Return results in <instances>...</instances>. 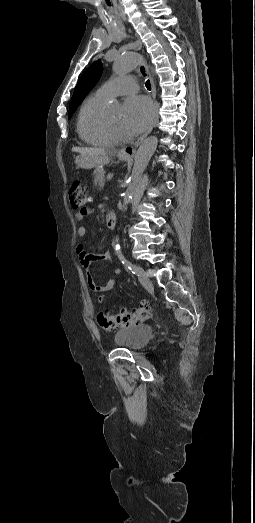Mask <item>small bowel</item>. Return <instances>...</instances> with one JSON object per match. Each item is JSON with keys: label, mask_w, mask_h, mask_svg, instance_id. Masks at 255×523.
I'll use <instances>...</instances> for the list:
<instances>
[{"label": "small bowel", "mask_w": 255, "mask_h": 523, "mask_svg": "<svg viewBox=\"0 0 255 523\" xmlns=\"http://www.w3.org/2000/svg\"><path fill=\"white\" fill-rule=\"evenodd\" d=\"M91 208H82L80 209L75 217L78 221L84 220L85 217L92 214ZM87 234V227L82 225L77 230V245H76V252L78 254L79 262L81 266L87 270V282L89 287L99 293H104L112 290V288L116 284V277L121 274V270L119 268L114 269L113 276L108 279L104 283H97L89 273V269L91 266V263L96 260H105L108 262L113 261V257L110 253V251H105L104 253L99 254H93L85 250L84 248V239Z\"/></svg>", "instance_id": "obj_1"}]
</instances>
